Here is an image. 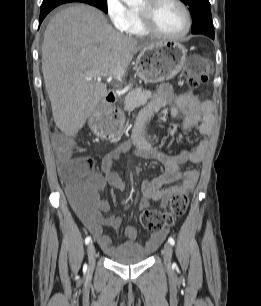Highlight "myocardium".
<instances>
[{"label": "myocardium", "instance_id": "myocardium-1", "mask_svg": "<svg viewBox=\"0 0 261 306\" xmlns=\"http://www.w3.org/2000/svg\"><path fill=\"white\" fill-rule=\"evenodd\" d=\"M162 1L163 0H144L142 5L137 8L143 26L150 34L160 38L169 40H177L183 38L189 33L192 26V17L188 6L182 0H171L180 7L185 17L184 29L178 34L171 35L159 30L154 22L153 13L155 7Z\"/></svg>", "mask_w": 261, "mask_h": 306}]
</instances>
